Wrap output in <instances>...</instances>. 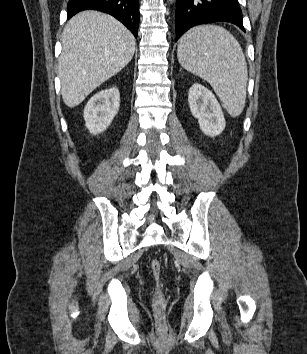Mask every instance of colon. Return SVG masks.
Segmentation results:
<instances>
[{
  "instance_id": "1",
  "label": "colon",
  "mask_w": 307,
  "mask_h": 354,
  "mask_svg": "<svg viewBox=\"0 0 307 354\" xmlns=\"http://www.w3.org/2000/svg\"><path fill=\"white\" fill-rule=\"evenodd\" d=\"M151 271L157 282L154 291V305L158 315L161 317L164 314L166 301L164 293L159 284V279L162 273V264L159 260L155 259L151 262Z\"/></svg>"
}]
</instances>
